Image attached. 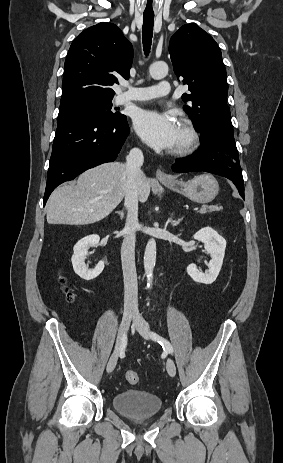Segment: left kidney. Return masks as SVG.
<instances>
[{
  "instance_id": "left-kidney-1",
  "label": "left kidney",
  "mask_w": 283,
  "mask_h": 463,
  "mask_svg": "<svg viewBox=\"0 0 283 463\" xmlns=\"http://www.w3.org/2000/svg\"><path fill=\"white\" fill-rule=\"evenodd\" d=\"M193 237L204 243V247L210 254L211 260L208 264L209 269L205 273L200 272L195 264L187 266V273L195 282L212 284L218 277L223 264L226 240L211 227L200 229Z\"/></svg>"
}]
</instances>
